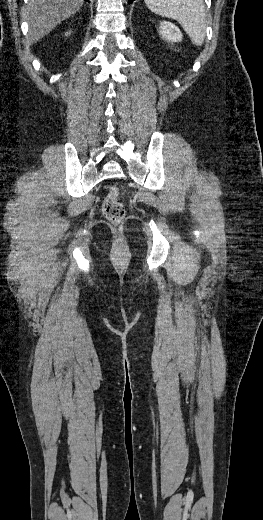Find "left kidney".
<instances>
[{
	"label": "left kidney",
	"instance_id": "1",
	"mask_svg": "<svg viewBox=\"0 0 263 520\" xmlns=\"http://www.w3.org/2000/svg\"><path fill=\"white\" fill-rule=\"evenodd\" d=\"M160 35L162 39L168 42H180L182 40V33L180 30L170 22H162L160 25Z\"/></svg>",
	"mask_w": 263,
	"mask_h": 520
}]
</instances>
